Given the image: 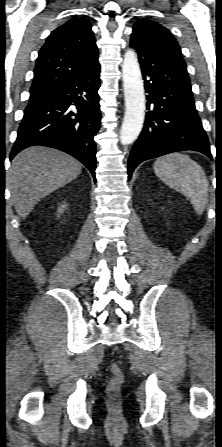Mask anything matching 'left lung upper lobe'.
Instances as JSON below:
<instances>
[{
  "label": "left lung upper lobe",
  "instance_id": "1",
  "mask_svg": "<svg viewBox=\"0 0 222 447\" xmlns=\"http://www.w3.org/2000/svg\"><path fill=\"white\" fill-rule=\"evenodd\" d=\"M132 38L164 51L186 65L177 41L162 25L146 19L138 20L133 27Z\"/></svg>",
  "mask_w": 222,
  "mask_h": 447
}]
</instances>
